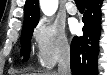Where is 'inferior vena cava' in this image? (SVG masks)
<instances>
[{"mask_svg": "<svg viewBox=\"0 0 107 75\" xmlns=\"http://www.w3.org/2000/svg\"><path fill=\"white\" fill-rule=\"evenodd\" d=\"M57 75H71L70 69V48L66 45L60 54Z\"/></svg>", "mask_w": 107, "mask_h": 75, "instance_id": "obj_1", "label": "inferior vena cava"}]
</instances>
